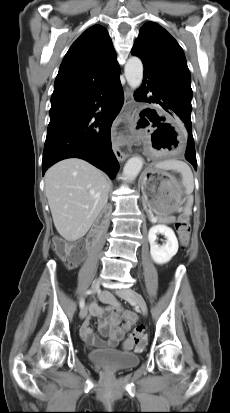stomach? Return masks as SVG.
I'll use <instances>...</instances> for the list:
<instances>
[{
    "label": "stomach",
    "mask_w": 230,
    "mask_h": 413,
    "mask_svg": "<svg viewBox=\"0 0 230 413\" xmlns=\"http://www.w3.org/2000/svg\"><path fill=\"white\" fill-rule=\"evenodd\" d=\"M141 190L148 208L163 221L182 203L183 187L171 174L151 167L143 174Z\"/></svg>",
    "instance_id": "0dacf381"
}]
</instances>
